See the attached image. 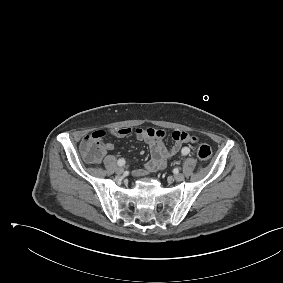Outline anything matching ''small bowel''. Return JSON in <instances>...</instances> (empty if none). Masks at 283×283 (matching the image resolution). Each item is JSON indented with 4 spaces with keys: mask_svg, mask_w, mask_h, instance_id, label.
Here are the masks:
<instances>
[{
    "mask_svg": "<svg viewBox=\"0 0 283 283\" xmlns=\"http://www.w3.org/2000/svg\"><path fill=\"white\" fill-rule=\"evenodd\" d=\"M109 134L117 138L134 135L137 140L144 141L149 145L151 158L142 169L134 171L135 176L148 175L163 169L167 162L178 154L183 144L195 143L198 140L194 135L175 131L172 133L173 144L167 147L163 142L165 132L153 128H115L109 130ZM114 148L115 145L112 142L105 143L103 154L114 150Z\"/></svg>",
    "mask_w": 283,
    "mask_h": 283,
    "instance_id": "1",
    "label": "small bowel"
}]
</instances>
